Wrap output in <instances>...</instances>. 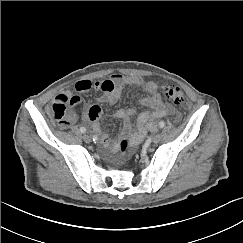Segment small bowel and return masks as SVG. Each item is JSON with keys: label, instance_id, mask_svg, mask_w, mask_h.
Wrapping results in <instances>:
<instances>
[{"label": "small bowel", "instance_id": "c3829d8e", "mask_svg": "<svg viewBox=\"0 0 243 243\" xmlns=\"http://www.w3.org/2000/svg\"><path fill=\"white\" fill-rule=\"evenodd\" d=\"M134 85L143 89L147 95L138 97V102L145 106L147 110L141 112L137 117L136 128L131 123V118L135 115V110L119 109L113 117L115 119L124 120V133L127 134L133 144L141 142L149 131L156 130L155 120L175 113L174 109L165 104L160 95L159 87L153 81H147L141 76H123L115 74L108 79L91 81L80 80L75 84V90L78 93H85L89 91L100 92L101 95L97 99V103L92 105L85 116V119L91 122L94 132L99 136L100 143L109 149L115 150L118 146L117 142L111 141L108 135L103 132L100 125V120L103 115L101 103L114 104L118 101L123 91L127 86ZM68 104L72 108H77L81 104V97L79 94L65 92L58 94L53 102ZM51 107V111H52ZM69 122H73L77 118V114L71 111L68 114Z\"/></svg>", "mask_w": 243, "mask_h": 243}]
</instances>
